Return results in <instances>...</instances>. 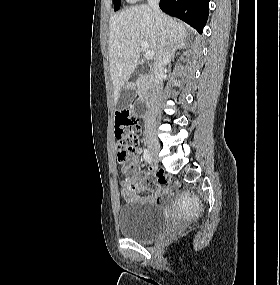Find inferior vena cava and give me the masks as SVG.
Instances as JSON below:
<instances>
[{"instance_id": "602c4592", "label": "inferior vena cava", "mask_w": 280, "mask_h": 285, "mask_svg": "<svg viewBox=\"0 0 280 285\" xmlns=\"http://www.w3.org/2000/svg\"><path fill=\"white\" fill-rule=\"evenodd\" d=\"M148 5L153 10L156 24L159 28L158 36L159 42L157 46V52L154 59V85L152 88V93L149 98L148 104V115L145 120V124L148 126H152L155 122V118L158 111V105L162 92V77L164 74V70L166 65L169 63L171 58V46L169 43V34L167 32L165 22L163 19V15L159 8V0H148Z\"/></svg>"}]
</instances>
